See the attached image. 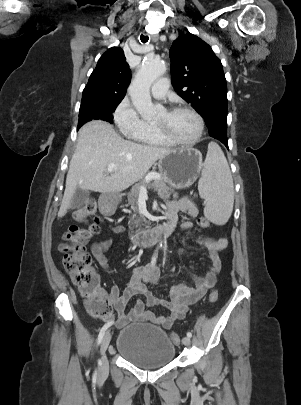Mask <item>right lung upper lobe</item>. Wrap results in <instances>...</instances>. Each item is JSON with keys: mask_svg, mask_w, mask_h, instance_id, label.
Segmentation results:
<instances>
[{"mask_svg": "<svg viewBox=\"0 0 301 405\" xmlns=\"http://www.w3.org/2000/svg\"><path fill=\"white\" fill-rule=\"evenodd\" d=\"M130 77L131 70L123 50L112 47L99 59L83 90L82 99L91 96L124 98Z\"/></svg>", "mask_w": 301, "mask_h": 405, "instance_id": "obj_1", "label": "right lung upper lobe"}]
</instances>
